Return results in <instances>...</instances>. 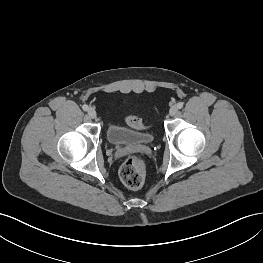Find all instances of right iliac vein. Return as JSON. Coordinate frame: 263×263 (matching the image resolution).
Returning a JSON list of instances; mask_svg holds the SVG:
<instances>
[{"instance_id":"obj_1","label":"right iliac vein","mask_w":263,"mask_h":263,"mask_svg":"<svg viewBox=\"0 0 263 263\" xmlns=\"http://www.w3.org/2000/svg\"><path fill=\"white\" fill-rule=\"evenodd\" d=\"M88 116L92 119L96 118L97 113L93 108L88 109Z\"/></svg>"}]
</instances>
